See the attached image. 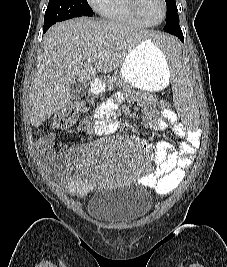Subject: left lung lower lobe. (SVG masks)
Returning a JSON list of instances; mask_svg holds the SVG:
<instances>
[{
    "label": "left lung lower lobe",
    "mask_w": 227,
    "mask_h": 267,
    "mask_svg": "<svg viewBox=\"0 0 227 267\" xmlns=\"http://www.w3.org/2000/svg\"><path fill=\"white\" fill-rule=\"evenodd\" d=\"M164 31L177 36L182 42L184 41L183 33L179 25L178 16L166 23Z\"/></svg>",
    "instance_id": "left-lung-lower-lobe-1"
}]
</instances>
